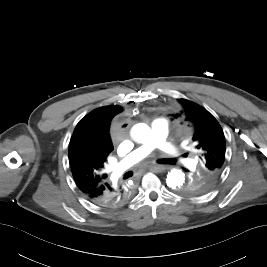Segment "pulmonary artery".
Segmentation results:
<instances>
[{
  "label": "pulmonary artery",
  "mask_w": 267,
  "mask_h": 267,
  "mask_svg": "<svg viewBox=\"0 0 267 267\" xmlns=\"http://www.w3.org/2000/svg\"><path fill=\"white\" fill-rule=\"evenodd\" d=\"M152 138L129 153L124 159L113 166V172L116 176L121 175L124 171L147 157L156 148L162 149L167 154L176 157L178 160L184 163H189V160H185L179 149L170 143L165 141L169 132V124L167 120L163 118L155 119L151 124Z\"/></svg>",
  "instance_id": "1"
}]
</instances>
